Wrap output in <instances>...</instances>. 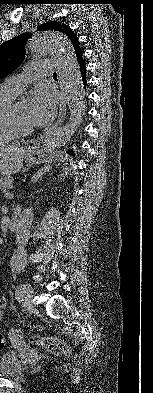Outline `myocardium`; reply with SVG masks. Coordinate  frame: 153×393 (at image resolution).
<instances>
[{
    "label": "myocardium",
    "instance_id": "myocardium-1",
    "mask_svg": "<svg viewBox=\"0 0 153 393\" xmlns=\"http://www.w3.org/2000/svg\"><path fill=\"white\" fill-rule=\"evenodd\" d=\"M19 102H16L14 104H12L11 109H10V123H11V127L14 130L15 134L18 137H25L28 136L33 129L31 127H24L17 115H16V106L18 105Z\"/></svg>",
    "mask_w": 153,
    "mask_h": 393
}]
</instances>
